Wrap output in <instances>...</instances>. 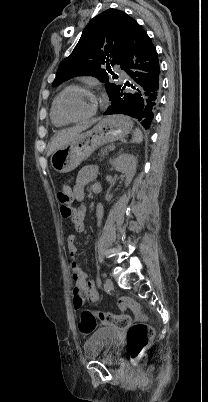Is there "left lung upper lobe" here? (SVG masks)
<instances>
[{
	"label": "left lung upper lobe",
	"mask_w": 208,
	"mask_h": 402,
	"mask_svg": "<svg viewBox=\"0 0 208 402\" xmlns=\"http://www.w3.org/2000/svg\"><path fill=\"white\" fill-rule=\"evenodd\" d=\"M134 22L129 15L116 9L95 16L83 30L73 52L60 64L52 85L56 87L77 75H92L106 83L110 98L116 88L115 84L108 83L109 73L112 74L110 65H121V56Z\"/></svg>",
	"instance_id": "1"
}]
</instances>
